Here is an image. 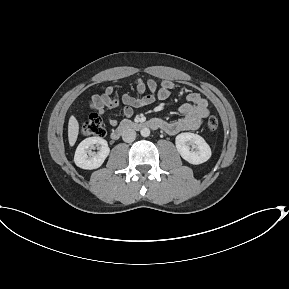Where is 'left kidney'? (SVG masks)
<instances>
[{
	"mask_svg": "<svg viewBox=\"0 0 289 289\" xmlns=\"http://www.w3.org/2000/svg\"><path fill=\"white\" fill-rule=\"evenodd\" d=\"M178 153L187 162L198 165L208 161L212 155L210 146L199 135L186 132L176 136Z\"/></svg>",
	"mask_w": 289,
	"mask_h": 289,
	"instance_id": "left-kidney-1",
	"label": "left kidney"
}]
</instances>
